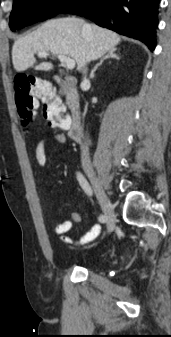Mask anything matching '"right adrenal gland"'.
<instances>
[{"label":"right adrenal gland","mask_w":171,"mask_h":337,"mask_svg":"<svg viewBox=\"0 0 171 337\" xmlns=\"http://www.w3.org/2000/svg\"><path fill=\"white\" fill-rule=\"evenodd\" d=\"M115 51H116V49L110 50L108 52V54L105 57H103L98 64H96V66L94 67V69L90 73V78L91 79L94 78L95 71L97 70V68L100 65H102V63L104 62L105 59H108V58L120 59V57L115 53Z\"/></svg>","instance_id":"right-adrenal-gland-1"}]
</instances>
